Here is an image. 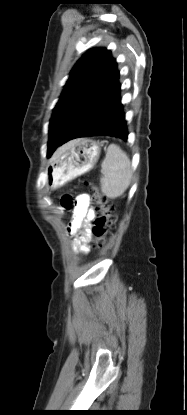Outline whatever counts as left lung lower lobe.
<instances>
[{
  "label": "left lung lower lobe",
  "mask_w": 187,
  "mask_h": 415,
  "mask_svg": "<svg viewBox=\"0 0 187 415\" xmlns=\"http://www.w3.org/2000/svg\"><path fill=\"white\" fill-rule=\"evenodd\" d=\"M120 91L117 63L111 57L88 95L87 101L94 102L90 115L85 119L77 118L65 132L59 146L75 138L90 136H111L127 141L128 131Z\"/></svg>",
  "instance_id": "obj_1"
}]
</instances>
